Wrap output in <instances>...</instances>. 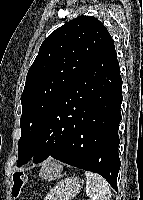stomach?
Segmentation results:
<instances>
[{"label": "stomach", "instance_id": "obj_1", "mask_svg": "<svg viewBox=\"0 0 143 200\" xmlns=\"http://www.w3.org/2000/svg\"><path fill=\"white\" fill-rule=\"evenodd\" d=\"M59 169V165L50 163L44 170L51 171V175H53ZM81 184L82 181L78 177H67L59 181L52 189H50L44 200H73L79 193Z\"/></svg>", "mask_w": 143, "mask_h": 200}]
</instances>
